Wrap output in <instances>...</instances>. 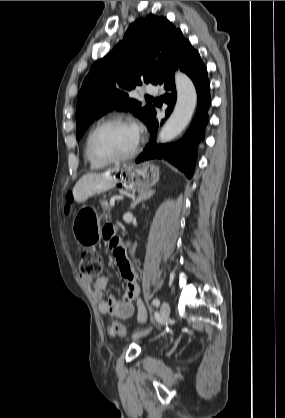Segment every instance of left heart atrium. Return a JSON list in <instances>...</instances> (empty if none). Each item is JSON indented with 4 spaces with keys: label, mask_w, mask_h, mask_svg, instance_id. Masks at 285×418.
Returning a JSON list of instances; mask_svg holds the SVG:
<instances>
[{
    "label": "left heart atrium",
    "mask_w": 285,
    "mask_h": 418,
    "mask_svg": "<svg viewBox=\"0 0 285 418\" xmlns=\"http://www.w3.org/2000/svg\"><path fill=\"white\" fill-rule=\"evenodd\" d=\"M131 128H132V130L134 131V133H135V135H136V137H138V134H139V125H138V123H133L132 125H131Z\"/></svg>",
    "instance_id": "39dd6f15"
}]
</instances>
